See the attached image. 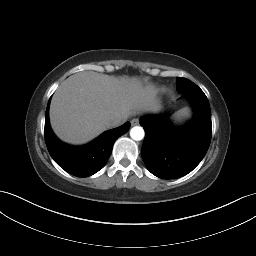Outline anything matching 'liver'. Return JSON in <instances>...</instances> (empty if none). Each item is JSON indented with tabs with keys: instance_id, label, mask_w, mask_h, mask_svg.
<instances>
[{
	"instance_id": "liver-1",
	"label": "liver",
	"mask_w": 256,
	"mask_h": 256,
	"mask_svg": "<svg viewBox=\"0 0 256 256\" xmlns=\"http://www.w3.org/2000/svg\"><path fill=\"white\" fill-rule=\"evenodd\" d=\"M157 90L136 77L85 71L67 78L50 104L55 134L71 144L86 143L110 128L116 118L159 109Z\"/></svg>"
}]
</instances>
